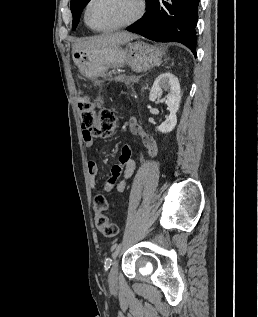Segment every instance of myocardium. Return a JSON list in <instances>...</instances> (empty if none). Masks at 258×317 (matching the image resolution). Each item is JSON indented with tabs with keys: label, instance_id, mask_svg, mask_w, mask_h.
Instances as JSON below:
<instances>
[{
	"label": "myocardium",
	"instance_id": "obj_1",
	"mask_svg": "<svg viewBox=\"0 0 258 317\" xmlns=\"http://www.w3.org/2000/svg\"><path fill=\"white\" fill-rule=\"evenodd\" d=\"M93 1L94 0H89L87 5H86V7H85L84 20H85L86 24L91 29H93L94 31H97V32H110V31H115V30H118V29H123V28L130 27L133 24H135L142 17V15L144 13V5H143V3L140 0H130V1L134 2L137 5V11H136L135 15L130 20H128V21H126V22H124L122 24L112 26V27L98 28V27H95L89 21V18H88L89 7H90V5L92 4Z\"/></svg>",
	"mask_w": 258,
	"mask_h": 317
}]
</instances>
